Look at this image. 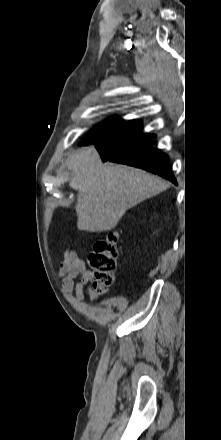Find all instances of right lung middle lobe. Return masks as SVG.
Here are the masks:
<instances>
[{
  "mask_svg": "<svg viewBox=\"0 0 221 440\" xmlns=\"http://www.w3.org/2000/svg\"><path fill=\"white\" fill-rule=\"evenodd\" d=\"M123 123H125L123 119L108 120L106 123L92 130V132L88 136V139L82 145L95 144L97 141L111 134Z\"/></svg>",
  "mask_w": 221,
  "mask_h": 440,
  "instance_id": "1",
  "label": "right lung middle lobe"
}]
</instances>
